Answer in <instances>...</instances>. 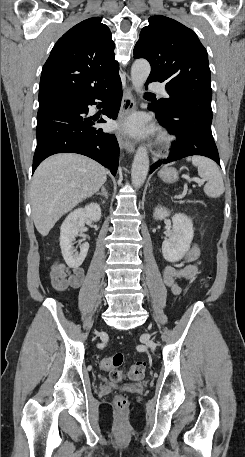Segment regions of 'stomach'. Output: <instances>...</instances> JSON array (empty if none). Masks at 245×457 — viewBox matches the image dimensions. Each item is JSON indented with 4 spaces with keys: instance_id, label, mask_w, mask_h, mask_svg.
Segmentation results:
<instances>
[{
    "instance_id": "1",
    "label": "stomach",
    "mask_w": 245,
    "mask_h": 457,
    "mask_svg": "<svg viewBox=\"0 0 245 457\" xmlns=\"http://www.w3.org/2000/svg\"><path fill=\"white\" fill-rule=\"evenodd\" d=\"M160 178L164 180V182H176L178 180V172L176 168H173V166H168V168H162L159 172Z\"/></svg>"
}]
</instances>
